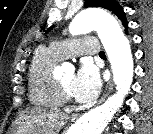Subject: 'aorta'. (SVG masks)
<instances>
[{"label":"aorta","instance_id":"obj_1","mask_svg":"<svg viewBox=\"0 0 153 134\" xmlns=\"http://www.w3.org/2000/svg\"><path fill=\"white\" fill-rule=\"evenodd\" d=\"M69 31L72 35L96 31L111 63L117 92L104 104L81 116L71 127L72 134H102L130 91L133 80L130 44L118 22L98 9H86L77 14Z\"/></svg>","mask_w":153,"mask_h":134}]
</instances>
